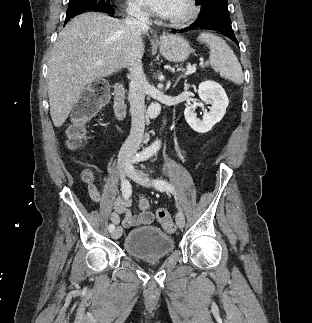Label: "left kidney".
Returning a JSON list of instances; mask_svg holds the SVG:
<instances>
[{"mask_svg":"<svg viewBox=\"0 0 312 323\" xmlns=\"http://www.w3.org/2000/svg\"><path fill=\"white\" fill-rule=\"evenodd\" d=\"M198 94L202 102L211 104L210 112H204L202 120H199L197 114H195V110L197 106H203V104L194 102V104L185 108L184 116L187 124H189L194 132L206 134V132H210L213 126H215L217 122H220L223 116H225L229 100L222 86H219L217 82H211V80H207V82H202V84H200Z\"/></svg>","mask_w":312,"mask_h":323,"instance_id":"left-kidney-1","label":"left kidney"}]
</instances>
